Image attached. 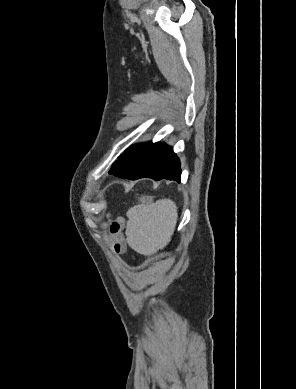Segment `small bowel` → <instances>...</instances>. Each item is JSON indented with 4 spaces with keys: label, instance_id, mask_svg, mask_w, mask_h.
<instances>
[{
    "label": "small bowel",
    "instance_id": "obj_1",
    "mask_svg": "<svg viewBox=\"0 0 296 389\" xmlns=\"http://www.w3.org/2000/svg\"><path fill=\"white\" fill-rule=\"evenodd\" d=\"M123 220L117 218L112 220L109 225V233L107 241L112 245L113 249L117 253H121L125 249V242L122 236Z\"/></svg>",
    "mask_w": 296,
    "mask_h": 389
}]
</instances>
